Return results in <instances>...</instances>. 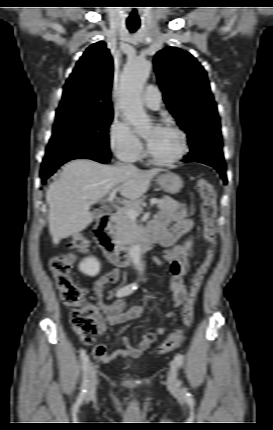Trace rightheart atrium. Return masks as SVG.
I'll list each match as a JSON object with an SVG mask.
<instances>
[{
  "instance_id": "obj_1",
  "label": "right heart atrium",
  "mask_w": 273,
  "mask_h": 430,
  "mask_svg": "<svg viewBox=\"0 0 273 430\" xmlns=\"http://www.w3.org/2000/svg\"><path fill=\"white\" fill-rule=\"evenodd\" d=\"M109 144L113 153L123 161H136L143 153L140 140L131 128L118 118H115L110 125Z\"/></svg>"
}]
</instances>
